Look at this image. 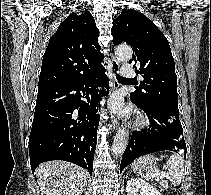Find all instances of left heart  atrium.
I'll list each match as a JSON object with an SVG mask.
<instances>
[{
	"label": "left heart atrium",
	"instance_id": "39dd6f15",
	"mask_svg": "<svg viewBox=\"0 0 211 195\" xmlns=\"http://www.w3.org/2000/svg\"><path fill=\"white\" fill-rule=\"evenodd\" d=\"M110 106L114 111H117L119 113H125L126 112V108L123 106L122 100L118 96H115L111 100Z\"/></svg>",
	"mask_w": 211,
	"mask_h": 195
}]
</instances>
